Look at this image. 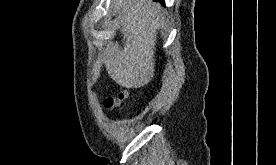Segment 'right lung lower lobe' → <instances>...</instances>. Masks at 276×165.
<instances>
[{
    "instance_id": "right-lung-lower-lobe-1",
    "label": "right lung lower lobe",
    "mask_w": 276,
    "mask_h": 165,
    "mask_svg": "<svg viewBox=\"0 0 276 165\" xmlns=\"http://www.w3.org/2000/svg\"><path fill=\"white\" fill-rule=\"evenodd\" d=\"M156 1H159V2H161V3H163V2H164V0H156Z\"/></svg>"
}]
</instances>
